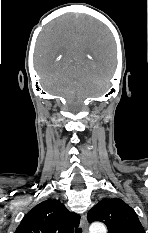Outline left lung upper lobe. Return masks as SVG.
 <instances>
[{
	"label": "left lung upper lobe",
	"instance_id": "obj_1",
	"mask_svg": "<svg viewBox=\"0 0 148 233\" xmlns=\"http://www.w3.org/2000/svg\"><path fill=\"white\" fill-rule=\"evenodd\" d=\"M88 221L103 222L108 233H145L135 211L119 198L103 199L87 215Z\"/></svg>",
	"mask_w": 148,
	"mask_h": 233
}]
</instances>
